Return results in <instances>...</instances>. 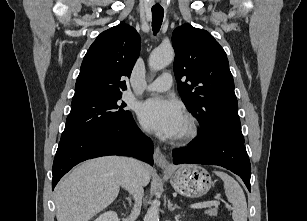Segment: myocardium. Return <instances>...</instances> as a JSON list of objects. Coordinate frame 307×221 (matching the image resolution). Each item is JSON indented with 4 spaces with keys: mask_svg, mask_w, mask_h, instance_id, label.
Wrapping results in <instances>:
<instances>
[{
    "mask_svg": "<svg viewBox=\"0 0 307 221\" xmlns=\"http://www.w3.org/2000/svg\"><path fill=\"white\" fill-rule=\"evenodd\" d=\"M184 120L186 122V129L176 138V141L180 144L188 143L194 140L199 133V126L193 115L186 114Z\"/></svg>",
    "mask_w": 307,
    "mask_h": 221,
    "instance_id": "f54148a6",
    "label": "myocardium"
}]
</instances>
